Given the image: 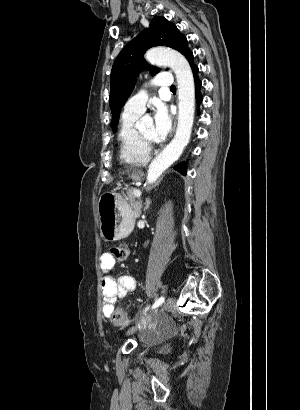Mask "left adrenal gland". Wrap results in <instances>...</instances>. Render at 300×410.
<instances>
[{
	"label": "left adrenal gland",
	"mask_w": 300,
	"mask_h": 410,
	"mask_svg": "<svg viewBox=\"0 0 300 410\" xmlns=\"http://www.w3.org/2000/svg\"><path fill=\"white\" fill-rule=\"evenodd\" d=\"M144 204H145L144 211H146L149 208L150 204H151V200L149 198H146Z\"/></svg>",
	"instance_id": "left-adrenal-gland-1"
}]
</instances>
